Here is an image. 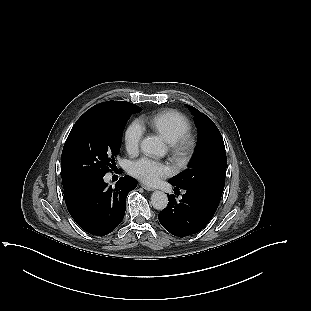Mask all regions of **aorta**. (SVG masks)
Masks as SVG:
<instances>
[{
	"label": "aorta",
	"instance_id": "1",
	"mask_svg": "<svg viewBox=\"0 0 311 311\" xmlns=\"http://www.w3.org/2000/svg\"><path fill=\"white\" fill-rule=\"evenodd\" d=\"M141 150L147 156L162 157L166 153V145L157 136H148L141 142ZM151 204L156 210H163L168 205V196L162 191H154Z\"/></svg>",
	"mask_w": 311,
	"mask_h": 311
}]
</instances>
